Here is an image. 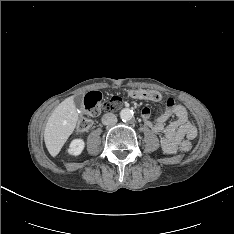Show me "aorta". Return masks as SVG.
<instances>
[{"instance_id": "obj_1", "label": "aorta", "mask_w": 234, "mask_h": 234, "mask_svg": "<svg viewBox=\"0 0 234 234\" xmlns=\"http://www.w3.org/2000/svg\"><path fill=\"white\" fill-rule=\"evenodd\" d=\"M120 117L123 121H129L133 118V111L129 108H124L120 111Z\"/></svg>"}]
</instances>
